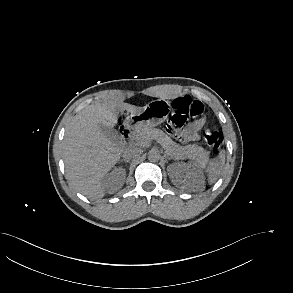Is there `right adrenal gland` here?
<instances>
[{"label":"right adrenal gland","mask_w":293,"mask_h":293,"mask_svg":"<svg viewBox=\"0 0 293 293\" xmlns=\"http://www.w3.org/2000/svg\"><path fill=\"white\" fill-rule=\"evenodd\" d=\"M120 162L129 163L130 161L129 160H126V159H122V160H120Z\"/></svg>","instance_id":"2a0ac1e0"}]
</instances>
